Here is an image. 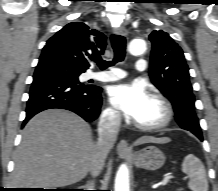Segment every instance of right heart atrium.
Here are the masks:
<instances>
[{
	"instance_id": "right-heart-atrium-1",
	"label": "right heart atrium",
	"mask_w": 218,
	"mask_h": 191,
	"mask_svg": "<svg viewBox=\"0 0 218 191\" xmlns=\"http://www.w3.org/2000/svg\"><path fill=\"white\" fill-rule=\"evenodd\" d=\"M103 119L109 125H116L120 121V114L113 108H107L103 113Z\"/></svg>"
}]
</instances>
